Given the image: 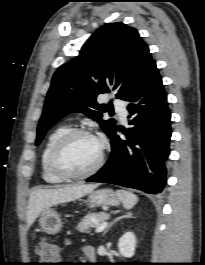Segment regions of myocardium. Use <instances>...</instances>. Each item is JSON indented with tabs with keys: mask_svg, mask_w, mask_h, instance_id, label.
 Segmentation results:
<instances>
[{
	"mask_svg": "<svg viewBox=\"0 0 205 265\" xmlns=\"http://www.w3.org/2000/svg\"><path fill=\"white\" fill-rule=\"evenodd\" d=\"M77 136H88L95 139L100 145V155L97 162L87 171L79 174H73L64 170L58 163V158L64 147L75 137ZM105 160L104 149L97 138V136L91 131L83 128H74L69 129L66 133H64L53 145L50 150L48 157V165L50 170L59 178L63 180H83L87 179L94 174H96L103 166Z\"/></svg>",
	"mask_w": 205,
	"mask_h": 265,
	"instance_id": "myocardium-1",
	"label": "myocardium"
}]
</instances>
